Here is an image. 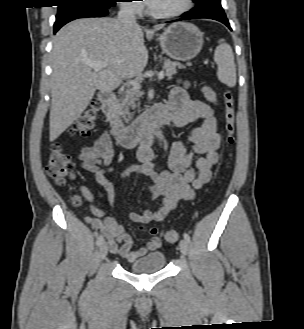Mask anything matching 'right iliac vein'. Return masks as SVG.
Listing matches in <instances>:
<instances>
[{"label":"right iliac vein","instance_id":"63e3f726","mask_svg":"<svg viewBox=\"0 0 304 329\" xmlns=\"http://www.w3.org/2000/svg\"><path fill=\"white\" fill-rule=\"evenodd\" d=\"M108 253V246L107 243H102L99 248V258L102 260L106 257Z\"/></svg>","mask_w":304,"mask_h":329}]
</instances>
